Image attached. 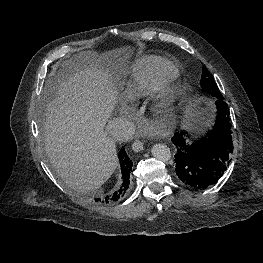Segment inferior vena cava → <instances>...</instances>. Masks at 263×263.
<instances>
[{"mask_svg": "<svg viewBox=\"0 0 263 263\" xmlns=\"http://www.w3.org/2000/svg\"><path fill=\"white\" fill-rule=\"evenodd\" d=\"M106 130L114 141L126 142L130 140L134 134V125L127 119L115 118L110 120L106 126Z\"/></svg>", "mask_w": 263, "mask_h": 263, "instance_id": "602c4592", "label": "inferior vena cava"}]
</instances>
